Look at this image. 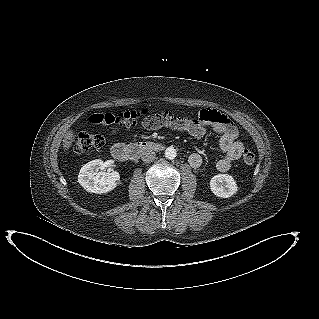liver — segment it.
<instances>
[{
    "label": "liver",
    "mask_w": 319,
    "mask_h": 319,
    "mask_svg": "<svg viewBox=\"0 0 319 319\" xmlns=\"http://www.w3.org/2000/svg\"><path fill=\"white\" fill-rule=\"evenodd\" d=\"M73 141H74V132L72 130H69L64 134V139H63L64 150L67 151L71 147Z\"/></svg>",
    "instance_id": "obj_1"
}]
</instances>
